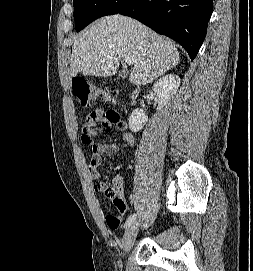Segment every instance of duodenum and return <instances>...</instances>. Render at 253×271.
I'll return each mask as SVG.
<instances>
[{
  "instance_id": "1",
  "label": "duodenum",
  "mask_w": 253,
  "mask_h": 271,
  "mask_svg": "<svg viewBox=\"0 0 253 271\" xmlns=\"http://www.w3.org/2000/svg\"><path fill=\"white\" fill-rule=\"evenodd\" d=\"M138 93H139V91H138L137 88H135V89L132 90V92H131V99H132L133 101L137 98Z\"/></svg>"
}]
</instances>
